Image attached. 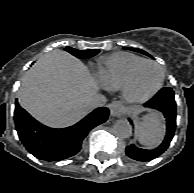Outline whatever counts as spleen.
Wrapping results in <instances>:
<instances>
[{
  "instance_id": "spleen-1",
  "label": "spleen",
  "mask_w": 194,
  "mask_h": 193,
  "mask_svg": "<svg viewBox=\"0 0 194 193\" xmlns=\"http://www.w3.org/2000/svg\"><path fill=\"white\" fill-rule=\"evenodd\" d=\"M164 131L163 118L157 112H150L136 124V137L146 146L158 145L164 137Z\"/></svg>"
}]
</instances>
